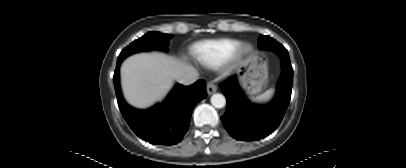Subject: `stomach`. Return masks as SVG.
Returning a JSON list of instances; mask_svg holds the SVG:
<instances>
[{"label":"stomach","instance_id":"1","mask_svg":"<svg viewBox=\"0 0 406 168\" xmlns=\"http://www.w3.org/2000/svg\"><path fill=\"white\" fill-rule=\"evenodd\" d=\"M267 74L266 62L259 56H251L242 65L240 84L248 94H259L265 86Z\"/></svg>","mask_w":406,"mask_h":168}]
</instances>
